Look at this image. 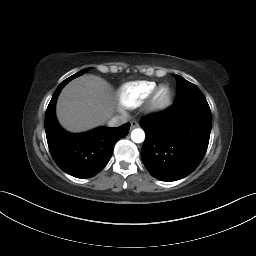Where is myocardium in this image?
Returning a JSON list of instances; mask_svg holds the SVG:
<instances>
[{
    "label": "myocardium",
    "instance_id": "obj_1",
    "mask_svg": "<svg viewBox=\"0 0 256 256\" xmlns=\"http://www.w3.org/2000/svg\"><path fill=\"white\" fill-rule=\"evenodd\" d=\"M166 91L162 97L161 94ZM173 91L168 84L157 86L146 102V110L150 113H158L166 110L172 103Z\"/></svg>",
    "mask_w": 256,
    "mask_h": 256
}]
</instances>
